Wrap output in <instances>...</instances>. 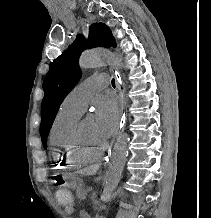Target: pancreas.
<instances>
[{
	"instance_id": "obj_1",
	"label": "pancreas",
	"mask_w": 211,
	"mask_h": 218,
	"mask_svg": "<svg viewBox=\"0 0 211 218\" xmlns=\"http://www.w3.org/2000/svg\"><path fill=\"white\" fill-rule=\"evenodd\" d=\"M87 192H85V190H83V188H77L76 190V196L77 198H80V200H85V196H86Z\"/></svg>"
}]
</instances>
